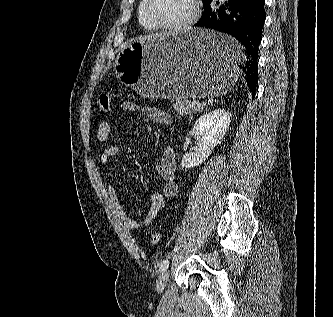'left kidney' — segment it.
<instances>
[{
    "label": "left kidney",
    "instance_id": "5707ae66",
    "mask_svg": "<svg viewBox=\"0 0 333 317\" xmlns=\"http://www.w3.org/2000/svg\"><path fill=\"white\" fill-rule=\"evenodd\" d=\"M231 122V114L225 110L215 109L201 115L195 122L193 133L202 138L201 143L192 153L183 155L181 167L189 169L200 165L211 154L225 133Z\"/></svg>",
    "mask_w": 333,
    "mask_h": 317
}]
</instances>
